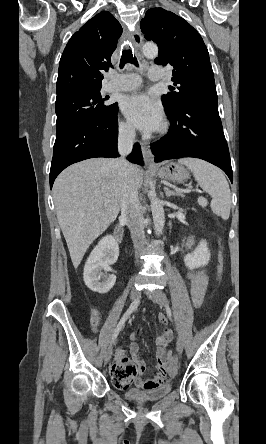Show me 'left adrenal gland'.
<instances>
[{
    "label": "left adrenal gland",
    "instance_id": "left-adrenal-gland-1",
    "mask_svg": "<svg viewBox=\"0 0 266 444\" xmlns=\"http://www.w3.org/2000/svg\"><path fill=\"white\" fill-rule=\"evenodd\" d=\"M166 197L170 196H183L181 193L171 191L168 187H164Z\"/></svg>",
    "mask_w": 266,
    "mask_h": 444
}]
</instances>
